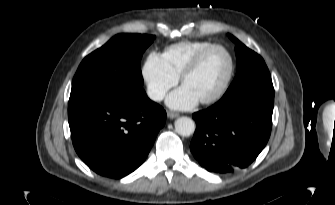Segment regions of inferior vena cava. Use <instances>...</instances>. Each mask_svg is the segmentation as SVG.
I'll return each mask as SVG.
<instances>
[{"mask_svg": "<svg viewBox=\"0 0 335 205\" xmlns=\"http://www.w3.org/2000/svg\"><path fill=\"white\" fill-rule=\"evenodd\" d=\"M150 99L154 101H160L165 96V91L159 89H149L147 92Z\"/></svg>", "mask_w": 335, "mask_h": 205, "instance_id": "inferior-vena-cava-1", "label": "inferior vena cava"}]
</instances>
